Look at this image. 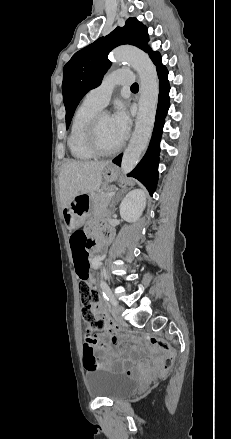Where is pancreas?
Wrapping results in <instances>:
<instances>
[{"instance_id":"1","label":"pancreas","mask_w":231,"mask_h":439,"mask_svg":"<svg viewBox=\"0 0 231 439\" xmlns=\"http://www.w3.org/2000/svg\"><path fill=\"white\" fill-rule=\"evenodd\" d=\"M110 192L111 189L107 188L105 191H100L92 195L93 214H100L105 211L111 200V197H108Z\"/></svg>"}]
</instances>
